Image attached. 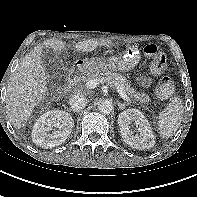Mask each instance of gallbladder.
<instances>
[{
	"mask_svg": "<svg viewBox=\"0 0 197 197\" xmlns=\"http://www.w3.org/2000/svg\"><path fill=\"white\" fill-rule=\"evenodd\" d=\"M53 58H54V53L50 49L44 48L42 55H41V61H42V65L44 66V68H46V71L50 75L54 74V70H52L51 68L54 62Z\"/></svg>",
	"mask_w": 197,
	"mask_h": 197,
	"instance_id": "bac80fb5",
	"label": "gallbladder"
}]
</instances>
